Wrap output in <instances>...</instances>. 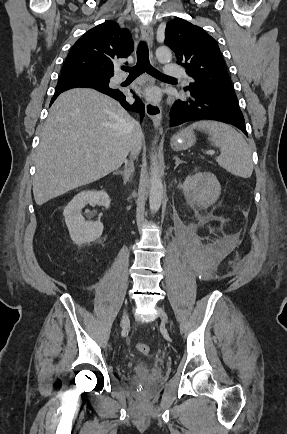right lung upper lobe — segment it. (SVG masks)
Wrapping results in <instances>:
<instances>
[{"instance_id":"1","label":"right lung upper lobe","mask_w":287,"mask_h":434,"mask_svg":"<svg viewBox=\"0 0 287 434\" xmlns=\"http://www.w3.org/2000/svg\"><path fill=\"white\" fill-rule=\"evenodd\" d=\"M133 51V41L127 30L115 21H106L86 32L70 50L62 72H89L113 76L114 66ZM66 85H91L82 81H58Z\"/></svg>"}]
</instances>
